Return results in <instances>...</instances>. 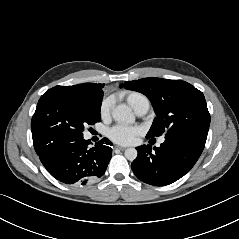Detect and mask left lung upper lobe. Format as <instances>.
<instances>
[{
    "instance_id": "1",
    "label": "left lung upper lobe",
    "mask_w": 239,
    "mask_h": 239,
    "mask_svg": "<svg viewBox=\"0 0 239 239\" xmlns=\"http://www.w3.org/2000/svg\"><path fill=\"white\" fill-rule=\"evenodd\" d=\"M146 95L152 103L156 118L147 138L183 136L206 142L210 114L204 95L182 80L143 78L127 81L120 87Z\"/></svg>"
}]
</instances>
